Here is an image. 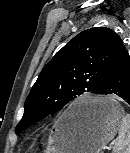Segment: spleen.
Returning <instances> with one entry per match:
<instances>
[{
    "label": "spleen",
    "instance_id": "1",
    "mask_svg": "<svg viewBox=\"0 0 130 153\" xmlns=\"http://www.w3.org/2000/svg\"><path fill=\"white\" fill-rule=\"evenodd\" d=\"M113 153H130V114L122 118Z\"/></svg>",
    "mask_w": 130,
    "mask_h": 153
}]
</instances>
